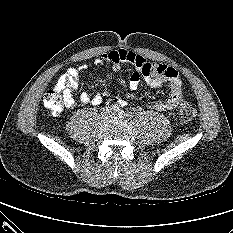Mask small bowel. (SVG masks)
I'll list each match as a JSON object with an SVG mask.
<instances>
[{"label":"small bowel","instance_id":"c3829d8e","mask_svg":"<svg viewBox=\"0 0 233 233\" xmlns=\"http://www.w3.org/2000/svg\"><path fill=\"white\" fill-rule=\"evenodd\" d=\"M102 62H109L114 69H118L122 63H130L135 70L131 73L128 85L130 89L135 90L143 81L153 88L161 87L164 84L170 85V94L166 100H151L145 104L148 110L168 111L175 109L183 100L182 81L177 70L173 67L148 62L143 56L127 49H118L108 51L99 59L95 60L96 65ZM86 70V65L78 68L71 67L57 80L55 88L63 92L68 106H73V95L77 90L80 75ZM80 102L83 104L100 105L103 101L101 94H89L83 92L80 94ZM119 104L124 106L125 101L119 100Z\"/></svg>","mask_w":233,"mask_h":233}]
</instances>
